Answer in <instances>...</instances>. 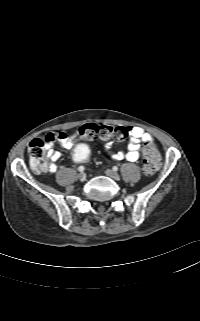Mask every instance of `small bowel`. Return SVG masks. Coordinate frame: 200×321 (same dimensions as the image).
<instances>
[{"instance_id":"c3829d8e","label":"small bowel","mask_w":200,"mask_h":321,"mask_svg":"<svg viewBox=\"0 0 200 321\" xmlns=\"http://www.w3.org/2000/svg\"><path fill=\"white\" fill-rule=\"evenodd\" d=\"M129 136V143L127 145V151H111L112 144L107 142L105 148L109 151L112 159L121 161L127 160L129 162H136L139 159L141 143H152L153 137L146 132L143 128L138 126H130L126 129ZM53 139L46 141L47 156L51 163L49 164L48 171L54 173L57 170L55 162H57L61 156L60 152L53 150V144L58 142L63 148L70 150L71 146L75 144V141L65 132L49 133Z\"/></svg>"}]
</instances>
